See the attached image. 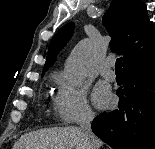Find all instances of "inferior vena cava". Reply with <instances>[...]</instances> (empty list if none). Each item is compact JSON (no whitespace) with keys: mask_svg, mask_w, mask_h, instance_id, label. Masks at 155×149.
I'll return each mask as SVG.
<instances>
[{"mask_svg":"<svg viewBox=\"0 0 155 149\" xmlns=\"http://www.w3.org/2000/svg\"><path fill=\"white\" fill-rule=\"evenodd\" d=\"M93 118L94 114L92 112H84L80 120V128L86 137L88 149H99V141L91 130Z\"/></svg>","mask_w":155,"mask_h":149,"instance_id":"602c4592","label":"inferior vena cava"}]
</instances>
